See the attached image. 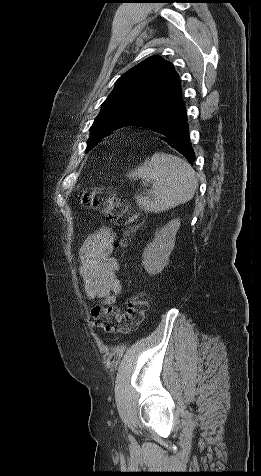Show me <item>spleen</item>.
<instances>
[{
	"label": "spleen",
	"instance_id": "3e777b00",
	"mask_svg": "<svg viewBox=\"0 0 261 476\" xmlns=\"http://www.w3.org/2000/svg\"><path fill=\"white\" fill-rule=\"evenodd\" d=\"M132 180L142 179L151 184L146 196H135L145 211L160 213L190 201L197 188L196 172L185 160L163 152L155 153L150 160L127 174Z\"/></svg>",
	"mask_w": 261,
	"mask_h": 476
}]
</instances>
